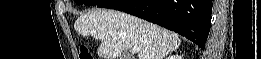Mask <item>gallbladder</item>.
<instances>
[{
    "mask_svg": "<svg viewBox=\"0 0 261 59\" xmlns=\"http://www.w3.org/2000/svg\"><path fill=\"white\" fill-rule=\"evenodd\" d=\"M122 58L123 59H130V57L128 55H123Z\"/></svg>",
    "mask_w": 261,
    "mask_h": 59,
    "instance_id": "bac80fb5",
    "label": "gallbladder"
}]
</instances>
